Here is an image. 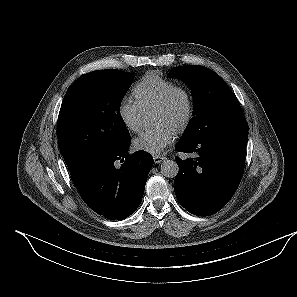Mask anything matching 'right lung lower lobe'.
I'll list each match as a JSON object with an SVG mask.
<instances>
[{
  "label": "right lung lower lobe",
  "instance_id": "obj_1",
  "mask_svg": "<svg viewBox=\"0 0 297 297\" xmlns=\"http://www.w3.org/2000/svg\"><path fill=\"white\" fill-rule=\"evenodd\" d=\"M129 145L130 141L115 150L91 153L69 168L85 203L111 220H122L135 212L154 163L146 151L130 155Z\"/></svg>",
  "mask_w": 297,
  "mask_h": 297
}]
</instances>
